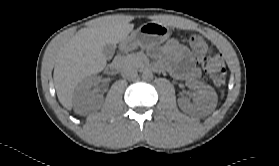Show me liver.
<instances>
[{
    "instance_id": "liver-1",
    "label": "liver",
    "mask_w": 279,
    "mask_h": 166,
    "mask_svg": "<svg viewBox=\"0 0 279 166\" xmlns=\"http://www.w3.org/2000/svg\"><path fill=\"white\" fill-rule=\"evenodd\" d=\"M125 16L99 18L82 28L59 50L53 78L57 97L68 110L73 106V92L85 78L101 72L106 66L103 47L117 44L133 30Z\"/></svg>"
}]
</instances>
